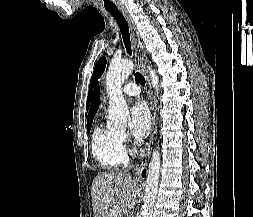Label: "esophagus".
Wrapping results in <instances>:
<instances>
[{
    "mask_svg": "<svg viewBox=\"0 0 253 217\" xmlns=\"http://www.w3.org/2000/svg\"><path fill=\"white\" fill-rule=\"evenodd\" d=\"M120 11L129 25L133 51L136 58L138 59L140 63L139 67L146 82V93H147V99H148L149 108H150V117H151V124H152L149 141L147 142L146 146L142 150L140 161L135 168V175L136 177L140 178L143 169L146 167L148 163V160L150 158L152 148H153L154 134H155V113H154V107H153V98H152L150 80L146 72V63H147L146 53L142 48L141 42L139 40L136 24L134 23L130 13L124 8H121Z\"/></svg>",
    "mask_w": 253,
    "mask_h": 217,
    "instance_id": "34e87169",
    "label": "esophagus"
}]
</instances>
